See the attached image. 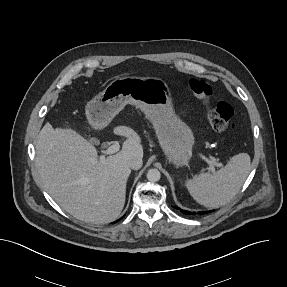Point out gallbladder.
<instances>
[{
  "instance_id": "obj_1",
  "label": "gallbladder",
  "mask_w": 287,
  "mask_h": 287,
  "mask_svg": "<svg viewBox=\"0 0 287 287\" xmlns=\"http://www.w3.org/2000/svg\"><path fill=\"white\" fill-rule=\"evenodd\" d=\"M64 127L69 130L71 133L74 132V130L67 124L64 125Z\"/></svg>"
}]
</instances>
